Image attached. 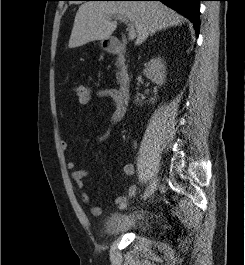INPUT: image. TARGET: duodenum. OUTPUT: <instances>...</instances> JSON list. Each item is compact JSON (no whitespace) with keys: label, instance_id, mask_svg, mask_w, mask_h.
Segmentation results:
<instances>
[{"label":"duodenum","instance_id":"410a0bca","mask_svg":"<svg viewBox=\"0 0 245 265\" xmlns=\"http://www.w3.org/2000/svg\"><path fill=\"white\" fill-rule=\"evenodd\" d=\"M108 52L118 57L121 64H124L125 47L120 40H111L107 44ZM118 90L123 100L128 101L130 98L131 85L128 75L123 72L119 80Z\"/></svg>","mask_w":245,"mask_h":265}]
</instances>
